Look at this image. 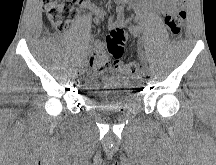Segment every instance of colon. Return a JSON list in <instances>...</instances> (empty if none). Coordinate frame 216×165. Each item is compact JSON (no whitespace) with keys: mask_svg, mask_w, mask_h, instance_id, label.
<instances>
[{"mask_svg":"<svg viewBox=\"0 0 216 165\" xmlns=\"http://www.w3.org/2000/svg\"><path fill=\"white\" fill-rule=\"evenodd\" d=\"M84 1L44 0V13L49 24L56 31L64 33L78 15L77 6ZM185 19L186 12L183 10L175 11L165 17V24L172 36L176 37L181 33ZM126 38L127 32L124 27H113L106 38V51L93 53L91 66L100 72L106 71L113 66L129 75H137L142 67L138 62H131L129 64L122 62Z\"/></svg>","mask_w":216,"mask_h":165,"instance_id":"obj_1","label":"colon"}]
</instances>
